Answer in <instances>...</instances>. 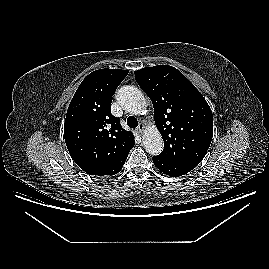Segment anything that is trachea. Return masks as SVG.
<instances>
[{
  "label": "trachea",
  "mask_w": 269,
  "mask_h": 269,
  "mask_svg": "<svg viewBox=\"0 0 269 269\" xmlns=\"http://www.w3.org/2000/svg\"><path fill=\"white\" fill-rule=\"evenodd\" d=\"M127 125H128L129 127H131V128H135V127L138 126V121H137V119H136L135 117H133V116H129V117L127 118Z\"/></svg>",
  "instance_id": "obj_1"
}]
</instances>
